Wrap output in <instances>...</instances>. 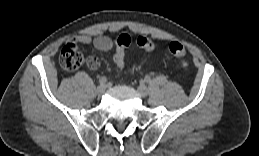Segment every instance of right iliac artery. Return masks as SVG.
I'll return each instance as SVG.
<instances>
[{"label": "right iliac artery", "instance_id": "obj_1", "mask_svg": "<svg viewBox=\"0 0 259 156\" xmlns=\"http://www.w3.org/2000/svg\"><path fill=\"white\" fill-rule=\"evenodd\" d=\"M107 82V78L106 77H101L100 79H99V83L100 84H105Z\"/></svg>", "mask_w": 259, "mask_h": 156}]
</instances>
